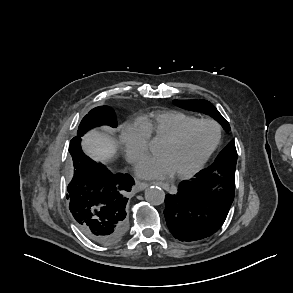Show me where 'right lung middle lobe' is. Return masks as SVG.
<instances>
[{
	"label": "right lung middle lobe",
	"mask_w": 293,
	"mask_h": 293,
	"mask_svg": "<svg viewBox=\"0 0 293 293\" xmlns=\"http://www.w3.org/2000/svg\"><path fill=\"white\" fill-rule=\"evenodd\" d=\"M102 125H109L113 128L117 126V119L111 108L107 106H100L92 109L82 119L78 127L77 136H82L89 129Z\"/></svg>",
	"instance_id": "obj_1"
}]
</instances>
